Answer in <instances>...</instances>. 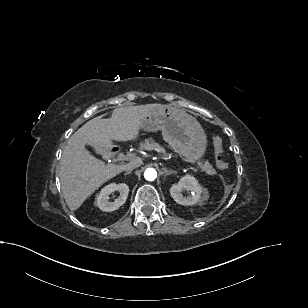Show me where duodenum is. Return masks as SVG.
Listing matches in <instances>:
<instances>
[{
    "label": "duodenum",
    "mask_w": 308,
    "mask_h": 308,
    "mask_svg": "<svg viewBox=\"0 0 308 308\" xmlns=\"http://www.w3.org/2000/svg\"><path fill=\"white\" fill-rule=\"evenodd\" d=\"M108 152H109V154H110L111 156H116V155L119 154L120 149H119L118 147L113 146V147H111V148L109 149Z\"/></svg>",
    "instance_id": "obj_1"
}]
</instances>
